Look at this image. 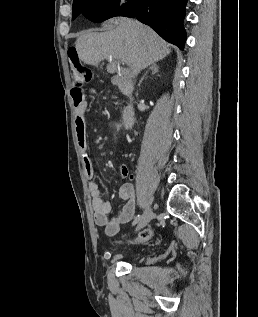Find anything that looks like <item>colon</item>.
Returning a JSON list of instances; mask_svg holds the SVG:
<instances>
[{
  "instance_id": "obj_1",
  "label": "colon",
  "mask_w": 258,
  "mask_h": 317,
  "mask_svg": "<svg viewBox=\"0 0 258 317\" xmlns=\"http://www.w3.org/2000/svg\"><path fill=\"white\" fill-rule=\"evenodd\" d=\"M68 61L71 68L72 80L75 86H84L93 79V71L85 66L79 59L76 46L72 45L68 48ZM152 236V229L143 230L137 237L138 241H146Z\"/></svg>"
}]
</instances>
